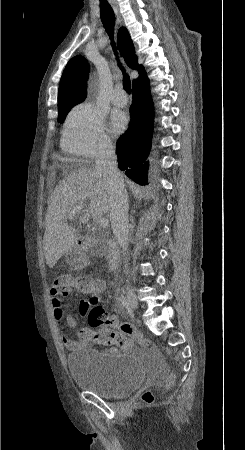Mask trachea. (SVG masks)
<instances>
[{
    "instance_id": "obj_1",
    "label": "trachea",
    "mask_w": 245,
    "mask_h": 450,
    "mask_svg": "<svg viewBox=\"0 0 245 450\" xmlns=\"http://www.w3.org/2000/svg\"><path fill=\"white\" fill-rule=\"evenodd\" d=\"M100 16L101 21L103 23V26L108 33L111 40H113V32H114V22H115V15L113 12L112 7L107 1H100ZM113 50L116 51L114 47V42H112ZM120 66V69L124 73V68L121 64H118ZM123 86L127 93H131V81L127 74H124L123 76Z\"/></svg>"
}]
</instances>
